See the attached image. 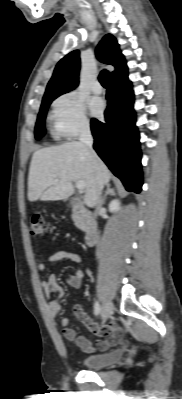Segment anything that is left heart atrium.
Instances as JSON below:
<instances>
[{"label":"left heart atrium","instance_id":"left-heart-atrium-1","mask_svg":"<svg viewBox=\"0 0 182 399\" xmlns=\"http://www.w3.org/2000/svg\"><path fill=\"white\" fill-rule=\"evenodd\" d=\"M89 108H90L91 113L94 116H98L103 111V108H104L103 101L100 98H92L89 101Z\"/></svg>","mask_w":182,"mask_h":399}]
</instances>
